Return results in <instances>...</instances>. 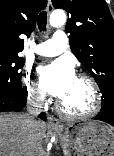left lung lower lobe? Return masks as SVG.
<instances>
[{"label": "left lung lower lobe", "instance_id": "0a47b994", "mask_svg": "<svg viewBox=\"0 0 114 156\" xmlns=\"http://www.w3.org/2000/svg\"><path fill=\"white\" fill-rule=\"evenodd\" d=\"M93 119L104 121L114 126V110H101L100 113Z\"/></svg>", "mask_w": 114, "mask_h": 156}]
</instances>
